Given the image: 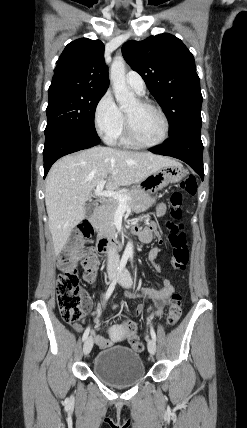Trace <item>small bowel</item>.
Returning <instances> with one entry per match:
<instances>
[{
  "label": "small bowel",
  "mask_w": 247,
  "mask_h": 428,
  "mask_svg": "<svg viewBox=\"0 0 247 428\" xmlns=\"http://www.w3.org/2000/svg\"><path fill=\"white\" fill-rule=\"evenodd\" d=\"M165 212H166V205L165 204L158 205L157 214L159 216H163L165 214ZM153 230H154V226L152 224L148 223V225L145 228H142L140 230V232L138 233L139 239L145 243L151 241ZM160 252H161V249L159 247L152 248L148 254V261L150 263H154V261L159 258ZM88 255L93 256L92 250L85 251L83 258L85 256H88ZM83 258H82V260H83ZM156 269H158V266H156ZM83 278L86 281H90V282L94 281V276H91L86 268H84V271H83ZM173 292H174V287H173L171 281L168 278H165L163 280L162 286L159 289H151V288H142L141 289V288H138L137 292L134 295H136V296H140V295L148 296V297H151L152 299H154L155 301L157 299L163 298L166 302H168V300H169V298ZM155 306H156V304H155ZM112 308L117 309V305L112 304ZM84 309H85V313H89L91 310V301L89 298L85 299ZM133 323L136 324L135 322H133ZM74 327L78 331H80L82 329V327L78 324H76ZM124 327H125V321H124ZM94 340H95V343L101 348L109 347L114 342L113 339H106L101 335H94Z\"/></svg>",
  "instance_id": "obj_1"
}]
</instances>
